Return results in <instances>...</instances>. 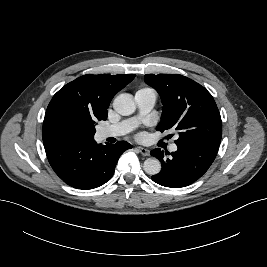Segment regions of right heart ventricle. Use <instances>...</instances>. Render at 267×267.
I'll list each match as a JSON object with an SVG mask.
<instances>
[{
  "instance_id": "right-heart-ventricle-1",
  "label": "right heart ventricle",
  "mask_w": 267,
  "mask_h": 267,
  "mask_svg": "<svg viewBox=\"0 0 267 267\" xmlns=\"http://www.w3.org/2000/svg\"><path fill=\"white\" fill-rule=\"evenodd\" d=\"M148 90H151V89L144 88V89H140L139 91H148ZM137 92H138V91H137Z\"/></svg>"
}]
</instances>
